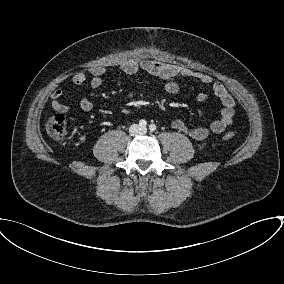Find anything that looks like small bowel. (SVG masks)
Returning <instances> with one entry per match:
<instances>
[{"instance_id": "c3829d8e", "label": "small bowel", "mask_w": 284, "mask_h": 284, "mask_svg": "<svg viewBox=\"0 0 284 284\" xmlns=\"http://www.w3.org/2000/svg\"><path fill=\"white\" fill-rule=\"evenodd\" d=\"M121 70L126 74H134L138 71H146L151 75L158 76L164 80L163 88L169 94H178L181 90L176 79L180 77H193L198 79L203 84L211 86V90L215 97L219 99L222 104L220 117L212 121L207 126L190 127L182 120L176 119L172 121L171 126L177 131L185 133L191 139L204 143L212 134H220L225 131L233 122L235 101L226 87L219 83L214 82L212 77L205 73L195 72L190 69H185L177 65L164 63L155 60H129L121 65ZM91 76L90 85L92 88H99L103 83V75L105 68L101 66L93 67L89 70ZM88 78L86 72H78L72 77L75 84H82ZM63 91L55 89L51 94L52 107L59 113H66L70 110L71 106L68 103L61 101ZM207 95L200 93L199 100H205ZM80 108L85 112L93 110L92 102L83 97L79 102Z\"/></svg>"}]
</instances>
